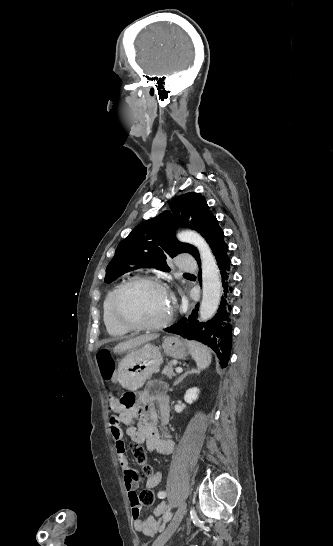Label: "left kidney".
<instances>
[{
	"instance_id": "1",
	"label": "left kidney",
	"mask_w": 333,
	"mask_h": 546,
	"mask_svg": "<svg viewBox=\"0 0 333 546\" xmlns=\"http://www.w3.org/2000/svg\"><path fill=\"white\" fill-rule=\"evenodd\" d=\"M199 390L198 388H192L186 391V394L184 396V400L192 404L196 399H198Z\"/></svg>"
}]
</instances>
